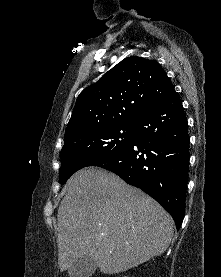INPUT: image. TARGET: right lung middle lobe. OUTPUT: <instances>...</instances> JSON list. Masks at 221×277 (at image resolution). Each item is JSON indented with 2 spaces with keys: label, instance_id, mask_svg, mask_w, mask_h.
Listing matches in <instances>:
<instances>
[{
  "label": "right lung middle lobe",
  "instance_id": "dd1d6c3e",
  "mask_svg": "<svg viewBox=\"0 0 221 277\" xmlns=\"http://www.w3.org/2000/svg\"><path fill=\"white\" fill-rule=\"evenodd\" d=\"M133 132V124H109L89 128L65 140L59 169L61 183L79 169L94 166L126 149Z\"/></svg>",
  "mask_w": 221,
  "mask_h": 277
}]
</instances>
